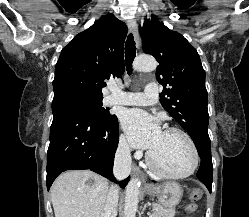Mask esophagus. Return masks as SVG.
I'll list each match as a JSON object with an SVG mask.
<instances>
[{
    "instance_id": "esophagus-1",
    "label": "esophagus",
    "mask_w": 249,
    "mask_h": 217,
    "mask_svg": "<svg viewBox=\"0 0 249 217\" xmlns=\"http://www.w3.org/2000/svg\"><path fill=\"white\" fill-rule=\"evenodd\" d=\"M128 27L130 29V31L132 32L134 38H135V42H136V46L137 48H139L140 44H139V40H138V36H137V23L135 20H129L128 21ZM132 171L134 174L138 175L142 181V183H145V177L141 174L138 166H136L135 164L132 166Z\"/></svg>"
}]
</instances>
